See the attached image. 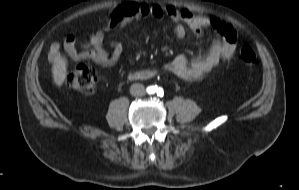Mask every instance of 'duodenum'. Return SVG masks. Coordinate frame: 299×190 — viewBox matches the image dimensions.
<instances>
[{
  "mask_svg": "<svg viewBox=\"0 0 299 190\" xmlns=\"http://www.w3.org/2000/svg\"><path fill=\"white\" fill-rule=\"evenodd\" d=\"M156 72L152 69H143L130 74V78L135 80H143L153 77Z\"/></svg>",
  "mask_w": 299,
  "mask_h": 190,
  "instance_id": "obj_1",
  "label": "duodenum"
}]
</instances>
